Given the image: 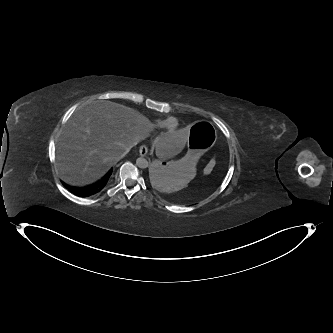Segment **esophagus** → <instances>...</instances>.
<instances>
[{"label":"esophagus","instance_id":"1","mask_svg":"<svg viewBox=\"0 0 333 333\" xmlns=\"http://www.w3.org/2000/svg\"><path fill=\"white\" fill-rule=\"evenodd\" d=\"M148 153V148L146 145H142L140 146L139 148V154L142 156V157H145Z\"/></svg>","mask_w":333,"mask_h":333}]
</instances>
